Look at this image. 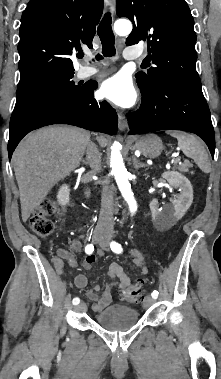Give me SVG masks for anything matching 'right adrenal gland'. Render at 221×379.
<instances>
[{
	"instance_id": "right-adrenal-gland-1",
	"label": "right adrenal gland",
	"mask_w": 221,
	"mask_h": 379,
	"mask_svg": "<svg viewBox=\"0 0 221 379\" xmlns=\"http://www.w3.org/2000/svg\"><path fill=\"white\" fill-rule=\"evenodd\" d=\"M82 163L85 164V165H87L88 161L87 160H83Z\"/></svg>"
}]
</instances>
